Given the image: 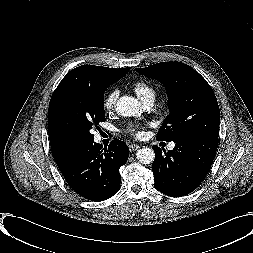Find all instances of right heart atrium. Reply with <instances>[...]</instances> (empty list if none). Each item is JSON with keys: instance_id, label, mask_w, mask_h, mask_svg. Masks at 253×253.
Returning <instances> with one entry per match:
<instances>
[{"instance_id": "d8ad5b80", "label": "right heart atrium", "mask_w": 253, "mask_h": 253, "mask_svg": "<svg viewBox=\"0 0 253 253\" xmlns=\"http://www.w3.org/2000/svg\"><path fill=\"white\" fill-rule=\"evenodd\" d=\"M118 95L119 91L116 89L111 90L105 95L103 100V107L105 110L111 111L114 108Z\"/></svg>"}]
</instances>
